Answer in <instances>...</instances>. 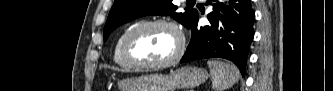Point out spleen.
<instances>
[{
    "mask_svg": "<svg viewBox=\"0 0 333 91\" xmlns=\"http://www.w3.org/2000/svg\"><path fill=\"white\" fill-rule=\"evenodd\" d=\"M207 64L214 91H225L238 82L240 72L235 65L216 60H209Z\"/></svg>",
    "mask_w": 333,
    "mask_h": 91,
    "instance_id": "3e777b00",
    "label": "spleen"
}]
</instances>
